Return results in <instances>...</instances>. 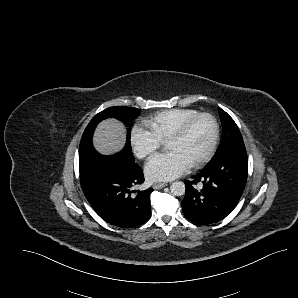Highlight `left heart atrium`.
<instances>
[{
  "instance_id": "obj_1",
  "label": "left heart atrium",
  "mask_w": 298,
  "mask_h": 298,
  "mask_svg": "<svg viewBox=\"0 0 298 298\" xmlns=\"http://www.w3.org/2000/svg\"><path fill=\"white\" fill-rule=\"evenodd\" d=\"M189 165L174 151L153 155L145 165V173L154 181H168L184 174Z\"/></svg>"
}]
</instances>
